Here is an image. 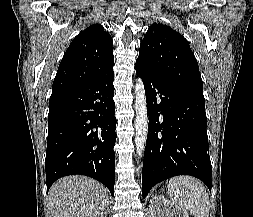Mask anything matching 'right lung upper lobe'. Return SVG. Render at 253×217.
<instances>
[{"mask_svg": "<svg viewBox=\"0 0 253 217\" xmlns=\"http://www.w3.org/2000/svg\"><path fill=\"white\" fill-rule=\"evenodd\" d=\"M113 41L100 24L89 26L71 42L59 65L52 94L75 89L113 69Z\"/></svg>", "mask_w": 253, "mask_h": 217, "instance_id": "right-lung-upper-lobe-1", "label": "right lung upper lobe"}]
</instances>
